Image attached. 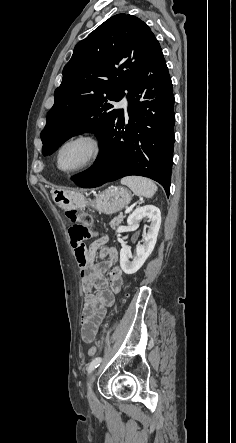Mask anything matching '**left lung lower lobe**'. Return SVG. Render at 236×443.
I'll return each mask as SVG.
<instances>
[{
	"label": "left lung lower lobe",
	"instance_id": "left-lung-lower-lobe-1",
	"mask_svg": "<svg viewBox=\"0 0 236 443\" xmlns=\"http://www.w3.org/2000/svg\"><path fill=\"white\" fill-rule=\"evenodd\" d=\"M129 122L124 111L99 136L101 152L90 169L72 180L94 188L129 175L159 182L170 192L174 147V95L168 68L159 43L128 89Z\"/></svg>",
	"mask_w": 236,
	"mask_h": 443
}]
</instances>
